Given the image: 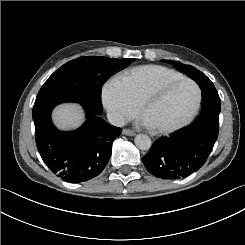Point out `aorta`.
Masks as SVG:
<instances>
[{
  "label": "aorta",
  "mask_w": 245,
  "mask_h": 245,
  "mask_svg": "<svg viewBox=\"0 0 245 245\" xmlns=\"http://www.w3.org/2000/svg\"><path fill=\"white\" fill-rule=\"evenodd\" d=\"M134 143L140 150H148L151 147V139L145 134H138L134 139Z\"/></svg>",
  "instance_id": "1"
}]
</instances>
